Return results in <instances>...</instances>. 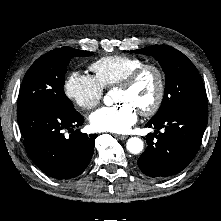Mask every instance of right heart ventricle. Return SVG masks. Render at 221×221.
Returning a JSON list of instances; mask_svg holds the SVG:
<instances>
[{"mask_svg": "<svg viewBox=\"0 0 221 221\" xmlns=\"http://www.w3.org/2000/svg\"><path fill=\"white\" fill-rule=\"evenodd\" d=\"M144 64V61L133 56L110 55L102 57L90 65L94 78L103 86L109 88L117 85L130 72Z\"/></svg>", "mask_w": 221, "mask_h": 221, "instance_id": "e07e8e85", "label": "right heart ventricle"}]
</instances>
